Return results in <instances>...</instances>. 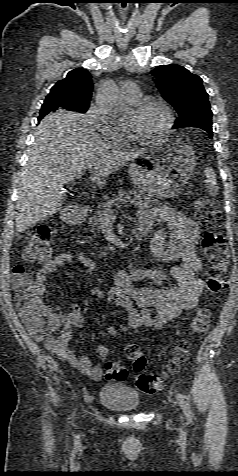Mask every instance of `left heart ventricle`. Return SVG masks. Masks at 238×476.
Wrapping results in <instances>:
<instances>
[{"label": "left heart ventricle", "instance_id": "left-heart-ventricle-1", "mask_svg": "<svg viewBox=\"0 0 238 476\" xmlns=\"http://www.w3.org/2000/svg\"><path fill=\"white\" fill-rule=\"evenodd\" d=\"M165 122V112L157 105L149 106L141 112L132 109L125 118V123L140 135H149L160 130Z\"/></svg>", "mask_w": 238, "mask_h": 476}]
</instances>
